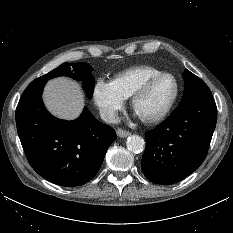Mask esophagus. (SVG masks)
I'll return each mask as SVG.
<instances>
[{"label":"esophagus","instance_id":"obj_1","mask_svg":"<svg viewBox=\"0 0 233 233\" xmlns=\"http://www.w3.org/2000/svg\"><path fill=\"white\" fill-rule=\"evenodd\" d=\"M116 133L121 138H125V137H127V136H129L131 134L129 131L123 130L121 128H118L116 130Z\"/></svg>","mask_w":233,"mask_h":233}]
</instances>
